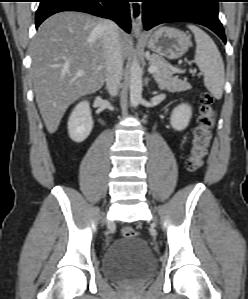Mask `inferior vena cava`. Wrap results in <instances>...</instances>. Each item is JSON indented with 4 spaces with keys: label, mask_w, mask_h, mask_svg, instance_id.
I'll use <instances>...</instances> for the list:
<instances>
[{
    "label": "inferior vena cava",
    "mask_w": 248,
    "mask_h": 299,
    "mask_svg": "<svg viewBox=\"0 0 248 299\" xmlns=\"http://www.w3.org/2000/svg\"><path fill=\"white\" fill-rule=\"evenodd\" d=\"M101 28L103 31L106 85L109 94L116 96L123 74V56L119 40V28L110 20H104Z\"/></svg>",
    "instance_id": "602c4592"
}]
</instances>
